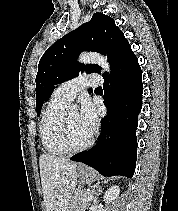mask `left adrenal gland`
I'll return each instance as SVG.
<instances>
[{
    "label": "left adrenal gland",
    "instance_id": "1",
    "mask_svg": "<svg viewBox=\"0 0 178 211\" xmlns=\"http://www.w3.org/2000/svg\"><path fill=\"white\" fill-rule=\"evenodd\" d=\"M93 192H94V194H95V199H94V201L95 202H97V199H98V197H99V195L101 194V192H102V188H101V186H95V189L93 190Z\"/></svg>",
    "mask_w": 178,
    "mask_h": 211
}]
</instances>
